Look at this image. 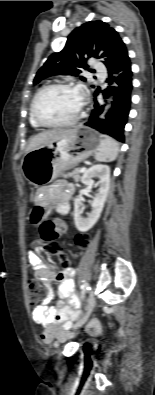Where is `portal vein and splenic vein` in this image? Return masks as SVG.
<instances>
[{
  "instance_id": "portal-vein-and-splenic-vein-1",
  "label": "portal vein and splenic vein",
  "mask_w": 155,
  "mask_h": 395,
  "mask_svg": "<svg viewBox=\"0 0 155 395\" xmlns=\"http://www.w3.org/2000/svg\"><path fill=\"white\" fill-rule=\"evenodd\" d=\"M85 171H86V168H85V167H82V168L79 169V172H80V173H83V172H85Z\"/></svg>"
}]
</instances>
